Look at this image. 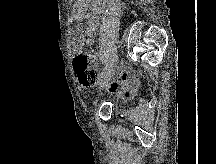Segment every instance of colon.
Segmentation results:
<instances>
[{"label":"colon","instance_id":"obj_1","mask_svg":"<svg viewBox=\"0 0 216 164\" xmlns=\"http://www.w3.org/2000/svg\"><path fill=\"white\" fill-rule=\"evenodd\" d=\"M90 27L88 23L87 28ZM84 37L76 36L72 42L74 53L77 54L74 60V66L80 83L85 88L93 87L97 84L99 79L98 69L94 63L93 56L88 53H83Z\"/></svg>","mask_w":216,"mask_h":164}]
</instances>
